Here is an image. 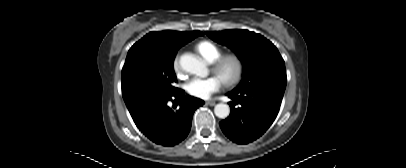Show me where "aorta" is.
I'll list each match as a JSON object with an SVG mask.
<instances>
[{
	"label": "aorta",
	"mask_w": 406,
	"mask_h": 168,
	"mask_svg": "<svg viewBox=\"0 0 406 168\" xmlns=\"http://www.w3.org/2000/svg\"><path fill=\"white\" fill-rule=\"evenodd\" d=\"M180 66L183 70L196 74L200 77H206L208 69L203 60L191 53H185L180 57ZM214 113L218 118L225 119L230 114V107L227 104L219 103L214 107Z\"/></svg>",
	"instance_id": "aorta-1"
}]
</instances>
